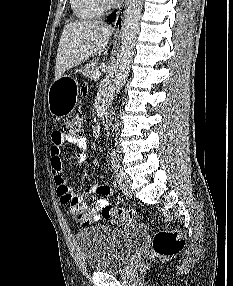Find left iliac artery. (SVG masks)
Instances as JSON below:
<instances>
[{"mask_svg": "<svg viewBox=\"0 0 233 286\" xmlns=\"http://www.w3.org/2000/svg\"><path fill=\"white\" fill-rule=\"evenodd\" d=\"M111 164L115 172L119 170V161L114 150L111 152Z\"/></svg>", "mask_w": 233, "mask_h": 286, "instance_id": "obj_1", "label": "left iliac artery"}]
</instances>
